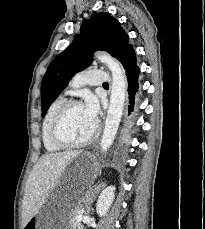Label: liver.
<instances>
[{"label":"liver","mask_w":205,"mask_h":229,"mask_svg":"<svg viewBox=\"0 0 205 229\" xmlns=\"http://www.w3.org/2000/svg\"><path fill=\"white\" fill-rule=\"evenodd\" d=\"M82 152L67 151L42 156L28 178L22 203L23 225L35 216L60 184L66 167Z\"/></svg>","instance_id":"1"}]
</instances>
